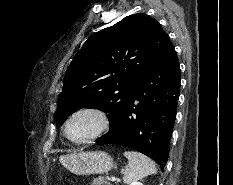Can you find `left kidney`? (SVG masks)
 I'll use <instances>...</instances> for the list:
<instances>
[{
  "mask_svg": "<svg viewBox=\"0 0 233 185\" xmlns=\"http://www.w3.org/2000/svg\"><path fill=\"white\" fill-rule=\"evenodd\" d=\"M132 185H143V184L140 183V182H135V183H133Z\"/></svg>",
  "mask_w": 233,
  "mask_h": 185,
  "instance_id": "1",
  "label": "left kidney"
}]
</instances>
